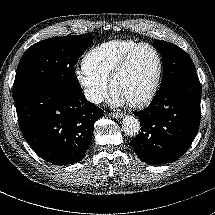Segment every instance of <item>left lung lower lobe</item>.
Returning a JSON list of instances; mask_svg holds the SVG:
<instances>
[{
    "mask_svg": "<svg viewBox=\"0 0 215 215\" xmlns=\"http://www.w3.org/2000/svg\"><path fill=\"white\" fill-rule=\"evenodd\" d=\"M200 102L201 85L196 72L160 88L147 108L135 112L142 126L131 140L137 156L156 165L179 159L197 134Z\"/></svg>",
    "mask_w": 215,
    "mask_h": 215,
    "instance_id": "left-lung-lower-lobe-1",
    "label": "left lung lower lobe"
}]
</instances>
